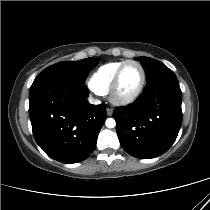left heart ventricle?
I'll return each instance as SVG.
<instances>
[{
  "mask_svg": "<svg viewBox=\"0 0 210 210\" xmlns=\"http://www.w3.org/2000/svg\"><path fill=\"white\" fill-rule=\"evenodd\" d=\"M141 80V72L136 64H128L122 71L118 87L119 96H127L133 93Z\"/></svg>",
  "mask_w": 210,
  "mask_h": 210,
  "instance_id": "left-heart-ventricle-1",
  "label": "left heart ventricle"
}]
</instances>
